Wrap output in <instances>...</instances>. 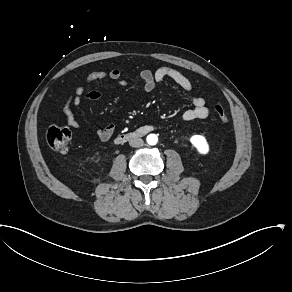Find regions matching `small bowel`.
Returning a JSON list of instances; mask_svg holds the SVG:
<instances>
[{"label":"small bowel","mask_w":292,"mask_h":292,"mask_svg":"<svg viewBox=\"0 0 292 292\" xmlns=\"http://www.w3.org/2000/svg\"><path fill=\"white\" fill-rule=\"evenodd\" d=\"M140 79L143 83L144 91L147 93L152 92L156 85L165 79H171L177 85H179L184 91L191 93L193 90V84L191 80L181 73L179 70L171 67H160L154 71L144 69L139 73ZM122 77L121 71L117 68H113L109 71L97 70L90 72L85 79L86 85H89L95 81L103 79H111L114 81H120ZM121 85H124V81H120ZM101 93L97 90L87 91L86 87H78L75 92L69 95L63 106V115L66 123L73 129L79 130L81 124L76 118L74 109L80 103L82 99L95 101L100 99ZM193 107L185 110L181 119L183 121H193L195 119H205L209 116V108L206 105L205 99L201 96H192ZM115 132V125L109 124L105 128L97 131L98 138L107 142L111 139Z\"/></svg>","instance_id":"obj_1"}]
</instances>
